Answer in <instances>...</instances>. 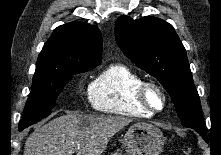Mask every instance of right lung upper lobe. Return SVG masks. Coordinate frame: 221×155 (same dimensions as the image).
<instances>
[{"instance_id": "cb5924a9", "label": "right lung upper lobe", "mask_w": 221, "mask_h": 155, "mask_svg": "<svg viewBox=\"0 0 221 155\" xmlns=\"http://www.w3.org/2000/svg\"><path fill=\"white\" fill-rule=\"evenodd\" d=\"M102 36L97 27L73 22L57 27L39 54L36 67L98 65Z\"/></svg>"}]
</instances>
